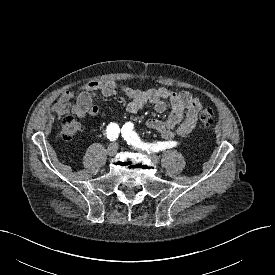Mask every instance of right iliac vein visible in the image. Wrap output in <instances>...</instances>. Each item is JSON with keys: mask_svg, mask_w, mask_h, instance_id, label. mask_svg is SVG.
I'll list each match as a JSON object with an SVG mask.
<instances>
[{"mask_svg": "<svg viewBox=\"0 0 275 275\" xmlns=\"http://www.w3.org/2000/svg\"><path fill=\"white\" fill-rule=\"evenodd\" d=\"M118 151V144L117 143H111L107 148V154L109 156H114Z\"/></svg>", "mask_w": 275, "mask_h": 275, "instance_id": "obj_1", "label": "right iliac vein"}]
</instances>
